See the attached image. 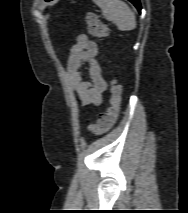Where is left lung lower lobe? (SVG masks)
I'll return each mask as SVG.
<instances>
[{"label":"left lung lower lobe","instance_id":"0a47b994","mask_svg":"<svg viewBox=\"0 0 188 213\" xmlns=\"http://www.w3.org/2000/svg\"><path fill=\"white\" fill-rule=\"evenodd\" d=\"M46 1H50V0H46ZM129 1L132 2L136 6V8L138 9V11L141 10V6H140L139 0H129Z\"/></svg>","mask_w":188,"mask_h":213}]
</instances>
